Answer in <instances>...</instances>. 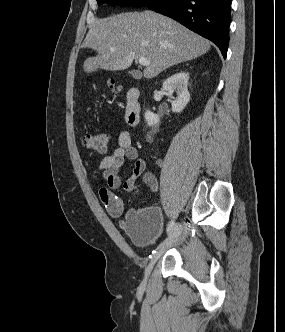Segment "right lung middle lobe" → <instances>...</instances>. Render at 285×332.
I'll use <instances>...</instances> for the list:
<instances>
[{"label": "right lung middle lobe", "mask_w": 285, "mask_h": 332, "mask_svg": "<svg viewBox=\"0 0 285 332\" xmlns=\"http://www.w3.org/2000/svg\"><path fill=\"white\" fill-rule=\"evenodd\" d=\"M153 0H97L98 4L108 3L112 6H132L141 7L146 6Z\"/></svg>", "instance_id": "right-lung-middle-lobe-1"}]
</instances>
